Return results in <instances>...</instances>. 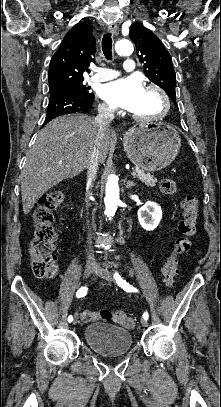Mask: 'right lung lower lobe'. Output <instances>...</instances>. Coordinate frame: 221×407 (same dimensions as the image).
I'll list each match as a JSON object with an SVG mask.
<instances>
[{
  "label": "right lung lower lobe",
  "mask_w": 221,
  "mask_h": 407,
  "mask_svg": "<svg viewBox=\"0 0 221 407\" xmlns=\"http://www.w3.org/2000/svg\"><path fill=\"white\" fill-rule=\"evenodd\" d=\"M93 102L94 96L61 95L50 98L44 124L61 115L86 111Z\"/></svg>",
  "instance_id": "right-lung-lower-lobe-1"
}]
</instances>
